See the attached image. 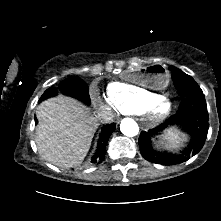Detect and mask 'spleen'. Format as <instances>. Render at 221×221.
Returning a JSON list of instances; mask_svg holds the SVG:
<instances>
[{"mask_svg":"<svg viewBox=\"0 0 221 221\" xmlns=\"http://www.w3.org/2000/svg\"><path fill=\"white\" fill-rule=\"evenodd\" d=\"M189 135L190 130L188 126L183 123H178L174 125L172 129H167L155 135L152 140V145L155 150L165 152L177 146L179 142L187 140Z\"/></svg>","mask_w":221,"mask_h":221,"instance_id":"3e777b00","label":"spleen"}]
</instances>
